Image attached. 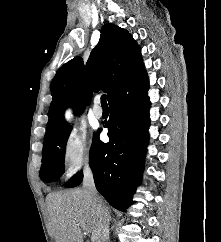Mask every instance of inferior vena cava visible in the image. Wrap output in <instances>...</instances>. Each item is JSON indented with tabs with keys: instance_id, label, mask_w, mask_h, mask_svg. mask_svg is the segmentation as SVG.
Here are the masks:
<instances>
[{
	"instance_id": "inferior-vena-cava-1",
	"label": "inferior vena cava",
	"mask_w": 221,
	"mask_h": 242,
	"mask_svg": "<svg viewBox=\"0 0 221 242\" xmlns=\"http://www.w3.org/2000/svg\"><path fill=\"white\" fill-rule=\"evenodd\" d=\"M83 189L89 199L95 215L94 241L107 242L109 238V212L101 197L99 196L89 168L85 169L83 178Z\"/></svg>"
}]
</instances>
